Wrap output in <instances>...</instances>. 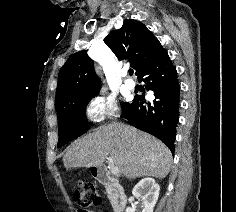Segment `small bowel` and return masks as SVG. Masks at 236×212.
<instances>
[{
  "mask_svg": "<svg viewBox=\"0 0 236 212\" xmlns=\"http://www.w3.org/2000/svg\"><path fill=\"white\" fill-rule=\"evenodd\" d=\"M79 212H87L86 209H81ZM89 212H93V211H89Z\"/></svg>",
  "mask_w": 236,
  "mask_h": 212,
  "instance_id": "small-bowel-1",
  "label": "small bowel"
}]
</instances>
